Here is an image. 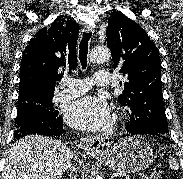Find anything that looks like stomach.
Segmentation results:
<instances>
[{
    "instance_id": "1",
    "label": "stomach",
    "mask_w": 183,
    "mask_h": 179,
    "mask_svg": "<svg viewBox=\"0 0 183 179\" xmlns=\"http://www.w3.org/2000/svg\"><path fill=\"white\" fill-rule=\"evenodd\" d=\"M106 164L120 173H136L148 168L153 161V148L140 135L120 139L111 148L101 151Z\"/></svg>"
}]
</instances>
